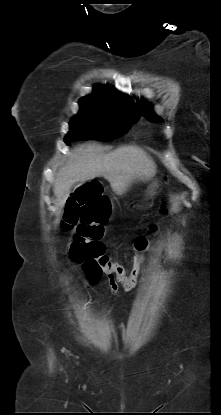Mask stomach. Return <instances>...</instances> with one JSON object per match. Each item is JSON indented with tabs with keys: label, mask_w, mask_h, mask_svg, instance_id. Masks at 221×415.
<instances>
[{
	"label": "stomach",
	"mask_w": 221,
	"mask_h": 415,
	"mask_svg": "<svg viewBox=\"0 0 221 415\" xmlns=\"http://www.w3.org/2000/svg\"><path fill=\"white\" fill-rule=\"evenodd\" d=\"M154 186H156V184ZM154 186H152V190L149 192L150 195H152L154 193V190H153Z\"/></svg>",
	"instance_id": "0dacf381"
}]
</instances>
